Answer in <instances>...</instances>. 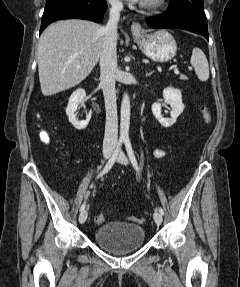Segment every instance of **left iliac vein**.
<instances>
[{
	"label": "left iliac vein",
	"mask_w": 240,
	"mask_h": 287,
	"mask_svg": "<svg viewBox=\"0 0 240 287\" xmlns=\"http://www.w3.org/2000/svg\"><path fill=\"white\" fill-rule=\"evenodd\" d=\"M117 161L123 165L128 164V158L124 155L123 152H120L119 156L117 157ZM162 214L158 211L154 212V221L157 225H160L162 223Z\"/></svg>",
	"instance_id": "obj_1"
}]
</instances>
